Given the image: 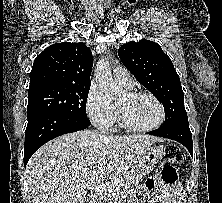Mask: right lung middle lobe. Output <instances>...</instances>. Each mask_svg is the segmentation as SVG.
Wrapping results in <instances>:
<instances>
[{"label":"right lung middle lobe","mask_w":222,"mask_h":203,"mask_svg":"<svg viewBox=\"0 0 222 203\" xmlns=\"http://www.w3.org/2000/svg\"><path fill=\"white\" fill-rule=\"evenodd\" d=\"M89 89L90 85H58L29 90L27 117L43 113L87 117Z\"/></svg>","instance_id":"1"}]
</instances>
